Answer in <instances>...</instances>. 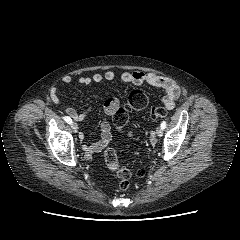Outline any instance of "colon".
<instances>
[{
  "label": "colon",
  "instance_id": "5ec220e1",
  "mask_svg": "<svg viewBox=\"0 0 240 240\" xmlns=\"http://www.w3.org/2000/svg\"><path fill=\"white\" fill-rule=\"evenodd\" d=\"M147 104L148 98L144 92L140 90L132 91L129 94L125 105L120 106L113 115V123L115 127L118 129L123 128L129 120L130 110H142ZM166 115V109L161 106H154L150 110V116L154 120L164 118ZM104 159L108 168L116 172L117 176L120 178L119 188L121 190H127L130 187V180L133 176V172L129 168L120 166L118 154L113 148H107L105 150ZM136 174L138 176H143L144 170H138Z\"/></svg>",
  "mask_w": 240,
  "mask_h": 240
}]
</instances>
